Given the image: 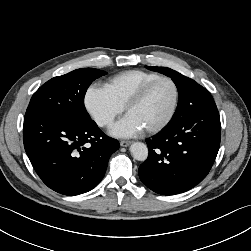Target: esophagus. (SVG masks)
I'll return each instance as SVG.
<instances>
[{
    "label": "esophagus",
    "mask_w": 251,
    "mask_h": 251,
    "mask_svg": "<svg viewBox=\"0 0 251 251\" xmlns=\"http://www.w3.org/2000/svg\"><path fill=\"white\" fill-rule=\"evenodd\" d=\"M131 143H132L131 141H121V142H120V145H121L122 147H127V146H129Z\"/></svg>",
    "instance_id": "obj_1"
}]
</instances>
